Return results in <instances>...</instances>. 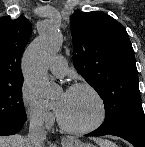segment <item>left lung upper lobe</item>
<instances>
[{
    "mask_svg": "<svg viewBox=\"0 0 145 147\" xmlns=\"http://www.w3.org/2000/svg\"><path fill=\"white\" fill-rule=\"evenodd\" d=\"M73 64L105 106L104 131L145 125L134 51L125 27L104 12H74Z\"/></svg>",
    "mask_w": 145,
    "mask_h": 147,
    "instance_id": "obj_1",
    "label": "left lung upper lobe"
}]
</instances>
